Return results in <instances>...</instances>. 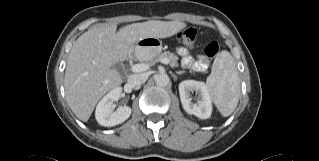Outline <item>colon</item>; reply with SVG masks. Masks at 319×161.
<instances>
[{"mask_svg": "<svg viewBox=\"0 0 319 161\" xmlns=\"http://www.w3.org/2000/svg\"><path fill=\"white\" fill-rule=\"evenodd\" d=\"M177 40L187 46H192L197 38V30L195 28H186L177 33ZM220 50V45L217 41H209L203 47V55L206 58H215Z\"/></svg>", "mask_w": 319, "mask_h": 161, "instance_id": "colon-1", "label": "colon"}]
</instances>
